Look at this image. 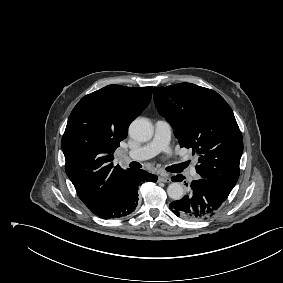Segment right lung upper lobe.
<instances>
[{
    "label": "right lung upper lobe",
    "instance_id": "obj_1",
    "mask_svg": "<svg viewBox=\"0 0 283 283\" xmlns=\"http://www.w3.org/2000/svg\"><path fill=\"white\" fill-rule=\"evenodd\" d=\"M153 87L108 85L84 96L62 138L65 171L81 201L91 207L123 186L132 169L113 165L129 123L149 104Z\"/></svg>",
    "mask_w": 283,
    "mask_h": 283
}]
</instances>
